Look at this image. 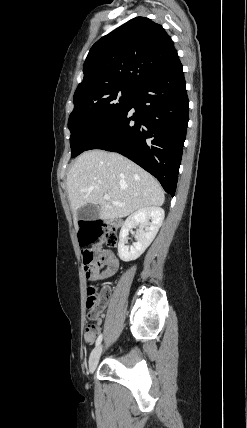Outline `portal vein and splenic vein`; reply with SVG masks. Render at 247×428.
Segmentation results:
<instances>
[{
	"label": "portal vein and splenic vein",
	"mask_w": 247,
	"mask_h": 428,
	"mask_svg": "<svg viewBox=\"0 0 247 428\" xmlns=\"http://www.w3.org/2000/svg\"><path fill=\"white\" fill-rule=\"evenodd\" d=\"M104 199H105V200H110V196H109V195H107V194H105V195H104ZM112 203H113L114 205H117V206H124V204H123V203H120V202H118V201H112Z\"/></svg>",
	"instance_id": "portal-vein-and-splenic-vein-1"
}]
</instances>
